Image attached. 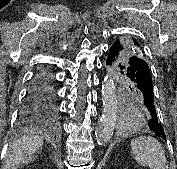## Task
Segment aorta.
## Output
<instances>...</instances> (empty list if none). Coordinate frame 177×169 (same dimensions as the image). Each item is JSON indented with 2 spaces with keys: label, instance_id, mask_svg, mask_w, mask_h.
Listing matches in <instances>:
<instances>
[{
  "label": "aorta",
  "instance_id": "1",
  "mask_svg": "<svg viewBox=\"0 0 177 169\" xmlns=\"http://www.w3.org/2000/svg\"><path fill=\"white\" fill-rule=\"evenodd\" d=\"M103 112L97 132V142L107 144L113 136L117 123V96L115 84L110 76H106L102 85Z\"/></svg>",
  "mask_w": 177,
  "mask_h": 169
}]
</instances>
